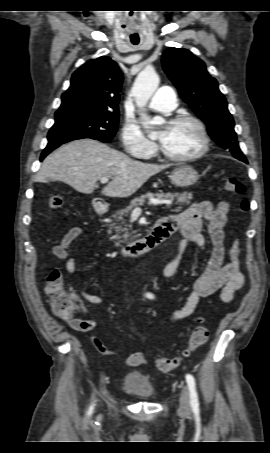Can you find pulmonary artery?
I'll return each instance as SVG.
<instances>
[{
	"instance_id": "obj_1",
	"label": "pulmonary artery",
	"mask_w": 270,
	"mask_h": 453,
	"mask_svg": "<svg viewBox=\"0 0 270 453\" xmlns=\"http://www.w3.org/2000/svg\"><path fill=\"white\" fill-rule=\"evenodd\" d=\"M176 94L170 87H161L149 101V107L158 112H170L176 107Z\"/></svg>"
}]
</instances>
